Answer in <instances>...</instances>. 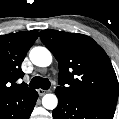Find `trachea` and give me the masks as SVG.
<instances>
[{
  "label": "trachea",
  "mask_w": 119,
  "mask_h": 119,
  "mask_svg": "<svg viewBox=\"0 0 119 119\" xmlns=\"http://www.w3.org/2000/svg\"><path fill=\"white\" fill-rule=\"evenodd\" d=\"M29 86L35 89L41 88L43 90H48L50 88V81L46 78L36 76L30 81Z\"/></svg>",
  "instance_id": "obj_1"
}]
</instances>
